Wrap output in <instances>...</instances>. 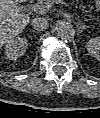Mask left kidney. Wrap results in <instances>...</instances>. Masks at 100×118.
<instances>
[{"instance_id": "left-kidney-1", "label": "left kidney", "mask_w": 100, "mask_h": 118, "mask_svg": "<svg viewBox=\"0 0 100 118\" xmlns=\"http://www.w3.org/2000/svg\"><path fill=\"white\" fill-rule=\"evenodd\" d=\"M87 51L88 53L96 58V59H100V38L99 37H95L90 39L87 43Z\"/></svg>"}]
</instances>
